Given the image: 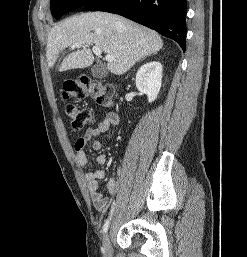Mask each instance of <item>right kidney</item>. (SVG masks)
Masks as SVG:
<instances>
[{
	"mask_svg": "<svg viewBox=\"0 0 247 257\" xmlns=\"http://www.w3.org/2000/svg\"><path fill=\"white\" fill-rule=\"evenodd\" d=\"M162 65L151 61L140 67L136 74L137 89L147 94L148 102L152 103L158 96L162 84Z\"/></svg>",
	"mask_w": 247,
	"mask_h": 257,
	"instance_id": "ca27d5eb",
	"label": "right kidney"
}]
</instances>
